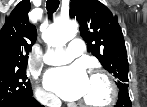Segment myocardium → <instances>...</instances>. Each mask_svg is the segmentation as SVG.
I'll list each match as a JSON object with an SVG mask.
<instances>
[{
	"mask_svg": "<svg viewBox=\"0 0 147 107\" xmlns=\"http://www.w3.org/2000/svg\"><path fill=\"white\" fill-rule=\"evenodd\" d=\"M91 79H102L107 87V98L99 103H91L87 101H80L83 107H108L114 104L118 96V88L114 79L104 71H94L91 74Z\"/></svg>",
	"mask_w": 147,
	"mask_h": 107,
	"instance_id": "f54148a6",
	"label": "myocardium"
}]
</instances>
